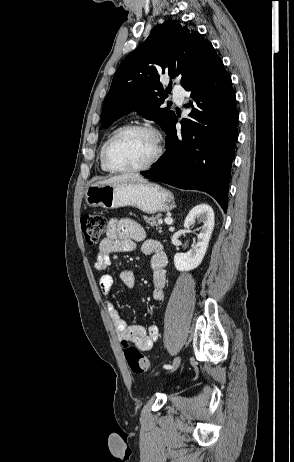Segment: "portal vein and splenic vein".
Masks as SVG:
<instances>
[{
  "mask_svg": "<svg viewBox=\"0 0 294 462\" xmlns=\"http://www.w3.org/2000/svg\"><path fill=\"white\" fill-rule=\"evenodd\" d=\"M160 223H162V220L159 221ZM164 222L167 224V225H172L173 224V219L172 218H165L164 219Z\"/></svg>",
  "mask_w": 294,
  "mask_h": 462,
  "instance_id": "obj_1",
  "label": "portal vein and splenic vein"
}]
</instances>
